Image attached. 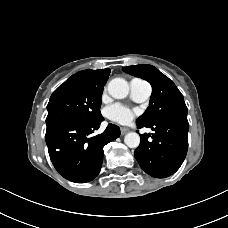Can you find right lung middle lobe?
<instances>
[{
  "instance_id": "right-lung-middle-lobe-1",
  "label": "right lung middle lobe",
  "mask_w": 228,
  "mask_h": 228,
  "mask_svg": "<svg viewBox=\"0 0 228 228\" xmlns=\"http://www.w3.org/2000/svg\"><path fill=\"white\" fill-rule=\"evenodd\" d=\"M103 88H88L68 79L51 95L47 105V129L67 121L90 122L101 116Z\"/></svg>"
}]
</instances>
